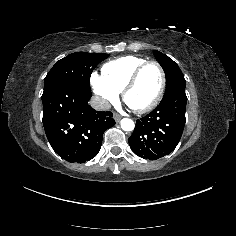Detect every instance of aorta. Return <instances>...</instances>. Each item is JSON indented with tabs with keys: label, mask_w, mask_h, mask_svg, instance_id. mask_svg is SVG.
Segmentation results:
<instances>
[{
	"label": "aorta",
	"mask_w": 236,
	"mask_h": 236,
	"mask_svg": "<svg viewBox=\"0 0 236 236\" xmlns=\"http://www.w3.org/2000/svg\"><path fill=\"white\" fill-rule=\"evenodd\" d=\"M120 126L125 131H130L134 129V122L130 118H122L120 121Z\"/></svg>",
	"instance_id": "aorta-1"
}]
</instances>
